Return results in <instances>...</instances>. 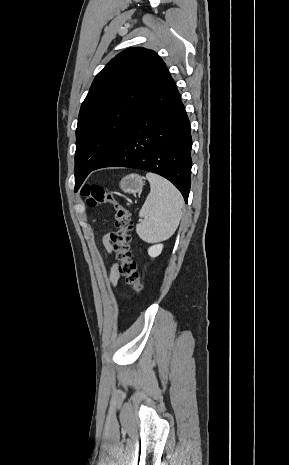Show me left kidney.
I'll return each mask as SVG.
<instances>
[{
  "mask_svg": "<svg viewBox=\"0 0 289 465\" xmlns=\"http://www.w3.org/2000/svg\"><path fill=\"white\" fill-rule=\"evenodd\" d=\"M163 244H156L148 248V254L150 257L155 258L162 252Z\"/></svg>",
  "mask_w": 289,
  "mask_h": 465,
  "instance_id": "5707ae66",
  "label": "left kidney"
}]
</instances>
